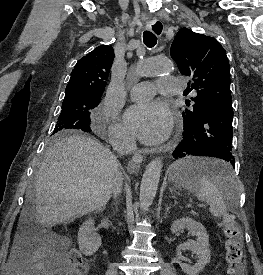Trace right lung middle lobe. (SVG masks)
I'll return each instance as SVG.
<instances>
[{"mask_svg":"<svg viewBox=\"0 0 263 275\" xmlns=\"http://www.w3.org/2000/svg\"><path fill=\"white\" fill-rule=\"evenodd\" d=\"M100 102V96L79 95L65 98L61 114L52 135L53 139H60L69 129L90 132V113Z\"/></svg>","mask_w":263,"mask_h":275,"instance_id":"dd1d6c3e","label":"right lung middle lobe"}]
</instances>
